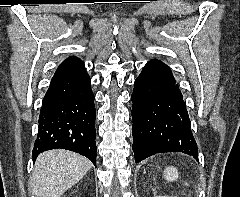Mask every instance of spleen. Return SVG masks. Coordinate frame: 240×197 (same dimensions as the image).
I'll return each mask as SVG.
<instances>
[{"label": "spleen", "instance_id": "spleen-1", "mask_svg": "<svg viewBox=\"0 0 240 197\" xmlns=\"http://www.w3.org/2000/svg\"><path fill=\"white\" fill-rule=\"evenodd\" d=\"M164 178H165V180H167L169 182L175 181L178 178V171H177L176 167L168 166L164 170Z\"/></svg>", "mask_w": 240, "mask_h": 197}]
</instances>
